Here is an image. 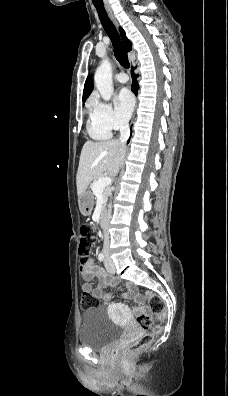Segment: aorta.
Listing matches in <instances>:
<instances>
[{
	"instance_id": "obj_1",
	"label": "aorta",
	"mask_w": 228,
	"mask_h": 396,
	"mask_svg": "<svg viewBox=\"0 0 228 396\" xmlns=\"http://www.w3.org/2000/svg\"><path fill=\"white\" fill-rule=\"evenodd\" d=\"M94 81L101 97L105 101L110 100L114 88L112 82V67L107 59L102 60L100 66L97 68Z\"/></svg>"
}]
</instances>
